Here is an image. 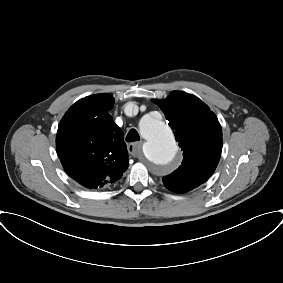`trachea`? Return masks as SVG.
<instances>
[{
	"instance_id": "obj_1",
	"label": "trachea",
	"mask_w": 283,
	"mask_h": 283,
	"mask_svg": "<svg viewBox=\"0 0 283 283\" xmlns=\"http://www.w3.org/2000/svg\"><path fill=\"white\" fill-rule=\"evenodd\" d=\"M139 140H140V136L138 132L135 129H131L126 136V141L134 142V141H139Z\"/></svg>"
}]
</instances>
